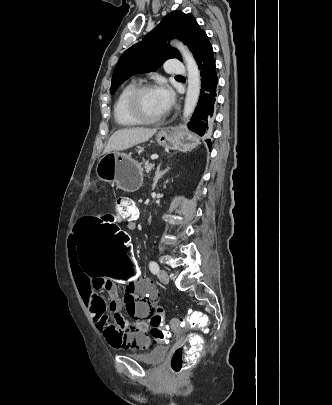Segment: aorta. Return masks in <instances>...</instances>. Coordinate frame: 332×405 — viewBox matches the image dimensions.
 <instances>
[{
	"mask_svg": "<svg viewBox=\"0 0 332 405\" xmlns=\"http://www.w3.org/2000/svg\"><path fill=\"white\" fill-rule=\"evenodd\" d=\"M172 45L180 51L188 72V87L183 111V120L187 121L191 118L199 100L201 76L198 65L189 49L180 42H172Z\"/></svg>",
	"mask_w": 332,
	"mask_h": 405,
	"instance_id": "762f6f07",
	"label": "aorta"
}]
</instances>
